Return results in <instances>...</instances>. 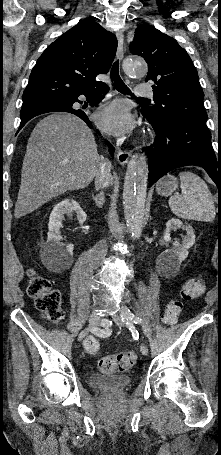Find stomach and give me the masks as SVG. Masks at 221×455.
<instances>
[{
	"label": "stomach",
	"mask_w": 221,
	"mask_h": 455,
	"mask_svg": "<svg viewBox=\"0 0 221 455\" xmlns=\"http://www.w3.org/2000/svg\"><path fill=\"white\" fill-rule=\"evenodd\" d=\"M178 188V180L173 175H166L156 184V191L161 196H170Z\"/></svg>",
	"instance_id": "1"
}]
</instances>
